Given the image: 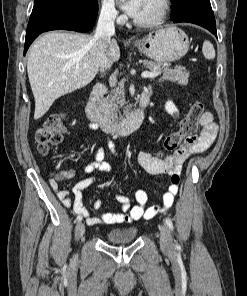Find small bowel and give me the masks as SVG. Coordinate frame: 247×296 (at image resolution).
I'll list each match as a JSON object with an SVG mask.
<instances>
[{
  "mask_svg": "<svg viewBox=\"0 0 247 296\" xmlns=\"http://www.w3.org/2000/svg\"><path fill=\"white\" fill-rule=\"evenodd\" d=\"M202 130L198 136H189L185 138L183 144L175 153L162 159L154 157L148 152H142L138 156L140 165L151 175H167L171 179V185L163 195L162 204L146 207L148 196L142 189L135 191V200L137 204L133 205L128 196L118 193L116 199L120 205V211L103 212L99 216H91L83 205V191L96 182V177L92 175L95 169L105 173L112 172V166L105 161L104 151L98 149L95 161L84 168L88 175L78 181L71 190H57V185L51 182L52 188L56 190V195L61 203L68 209H72L75 214L86 219L88 225H113L130 223L143 218H152L157 214L167 211L174 203L175 196L178 192V185L172 182V177L180 176L182 165L185 160L194 153L207 150L213 143L216 133L217 124L214 121L211 112H204L200 118ZM67 179H72L75 175L73 169H68L63 173ZM102 207V201L96 200L93 208L98 210Z\"/></svg>",
  "mask_w": 247,
  "mask_h": 296,
  "instance_id": "c3829d8e",
  "label": "small bowel"
}]
</instances>
